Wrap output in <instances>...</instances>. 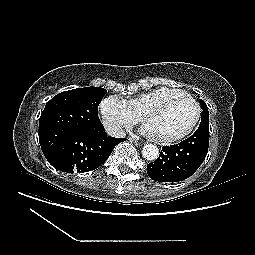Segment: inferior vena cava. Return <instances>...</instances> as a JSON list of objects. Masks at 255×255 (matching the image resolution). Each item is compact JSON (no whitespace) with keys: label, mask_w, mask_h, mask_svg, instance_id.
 Here are the masks:
<instances>
[{"label":"inferior vena cava","mask_w":255,"mask_h":255,"mask_svg":"<svg viewBox=\"0 0 255 255\" xmlns=\"http://www.w3.org/2000/svg\"><path fill=\"white\" fill-rule=\"evenodd\" d=\"M106 131L109 136L115 138H124L126 135L124 129L118 124H109Z\"/></svg>","instance_id":"inferior-vena-cava-1"}]
</instances>
